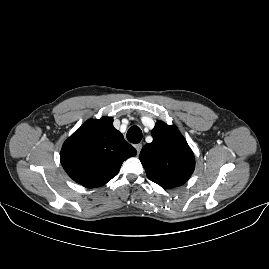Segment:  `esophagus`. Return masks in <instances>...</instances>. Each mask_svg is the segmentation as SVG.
Returning a JSON list of instances; mask_svg holds the SVG:
<instances>
[{
	"instance_id": "34e87169",
	"label": "esophagus",
	"mask_w": 269,
	"mask_h": 269,
	"mask_svg": "<svg viewBox=\"0 0 269 269\" xmlns=\"http://www.w3.org/2000/svg\"><path fill=\"white\" fill-rule=\"evenodd\" d=\"M135 149H136V152H137V156L139 155L140 151H141V148H142V144H136L135 146Z\"/></svg>"
}]
</instances>
